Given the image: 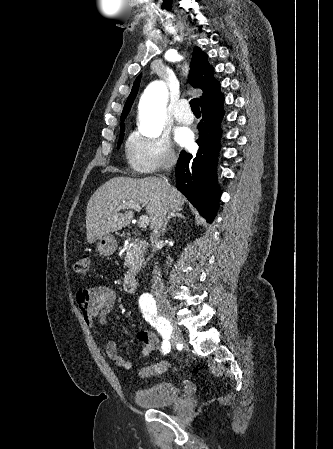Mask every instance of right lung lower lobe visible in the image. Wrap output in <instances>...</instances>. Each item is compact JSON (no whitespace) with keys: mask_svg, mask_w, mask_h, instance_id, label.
Segmentation results:
<instances>
[{"mask_svg":"<svg viewBox=\"0 0 333 449\" xmlns=\"http://www.w3.org/2000/svg\"><path fill=\"white\" fill-rule=\"evenodd\" d=\"M224 98L219 89L200 102L202 120L198 124L200 138L197 154L181 151L176 168L177 188L200 215L211 223L216 216L220 190L217 185L216 166L221 137Z\"/></svg>","mask_w":333,"mask_h":449,"instance_id":"98d812e1","label":"right lung lower lobe"}]
</instances>
